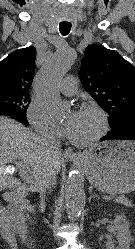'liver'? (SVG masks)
<instances>
[{
	"mask_svg": "<svg viewBox=\"0 0 135 249\" xmlns=\"http://www.w3.org/2000/svg\"><path fill=\"white\" fill-rule=\"evenodd\" d=\"M15 160L31 168L29 180H24L31 190H37L39 180L47 170L54 168L56 174L60 172L62 155H55L42 137L28 128L13 119L0 116V191L26 188L12 173L6 172L7 165Z\"/></svg>",
	"mask_w": 135,
	"mask_h": 249,
	"instance_id": "1",
	"label": "liver"
}]
</instances>
